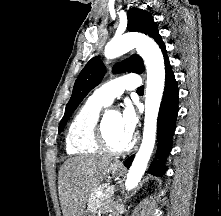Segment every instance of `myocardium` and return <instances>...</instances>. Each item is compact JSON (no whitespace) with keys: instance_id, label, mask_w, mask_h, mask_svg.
Returning a JSON list of instances; mask_svg holds the SVG:
<instances>
[{"instance_id":"myocardium-1","label":"myocardium","mask_w":221,"mask_h":216,"mask_svg":"<svg viewBox=\"0 0 221 216\" xmlns=\"http://www.w3.org/2000/svg\"><path fill=\"white\" fill-rule=\"evenodd\" d=\"M107 114L108 112H106L102 117H100L98 125H97V129H96V140L100 149L108 153L114 154V155L128 153L134 148L136 144V140L131 139L125 146H122V147L112 146L108 141L106 131H105V121H106Z\"/></svg>"}]
</instances>
